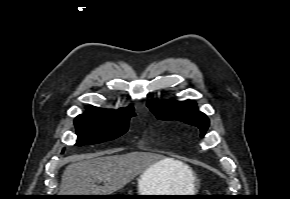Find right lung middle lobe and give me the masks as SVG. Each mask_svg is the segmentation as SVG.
Instances as JSON below:
<instances>
[{
  "label": "right lung middle lobe",
  "instance_id": "obj_1",
  "mask_svg": "<svg viewBox=\"0 0 290 199\" xmlns=\"http://www.w3.org/2000/svg\"><path fill=\"white\" fill-rule=\"evenodd\" d=\"M132 116L135 115L77 116L74 121L78 136L76 145L95 144L118 138L128 130Z\"/></svg>",
  "mask_w": 290,
  "mask_h": 199
}]
</instances>
